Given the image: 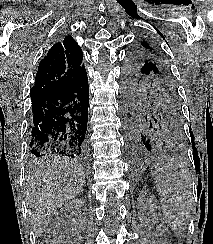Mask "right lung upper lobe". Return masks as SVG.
<instances>
[{"label":"right lung upper lobe","mask_w":213,"mask_h":244,"mask_svg":"<svg viewBox=\"0 0 213 244\" xmlns=\"http://www.w3.org/2000/svg\"><path fill=\"white\" fill-rule=\"evenodd\" d=\"M82 59L83 52L76 40L70 35L60 37L39 63L30 95L57 91L71 85L85 71Z\"/></svg>","instance_id":"right-lung-upper-lobe-1"}]
</instances>
